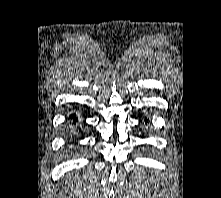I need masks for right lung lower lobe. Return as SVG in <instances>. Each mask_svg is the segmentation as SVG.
Here are the masks:
<instances>
[{
  "mask_svg": "<svg viewBox=\"0 0 221 198\" xmlns=\"http://www.w3.org/2000/svg\"><path fill=\"white\" fill-rule=\"evenodd\" d=\"M72 118H73L74 121H76V117L75 116H72Z\"/></svg>",
  "mask_w": 221,
  "mask_h": 198,
  "instance_id": "1",
  "label": "right lung lower lobe"
}]
</instances>
